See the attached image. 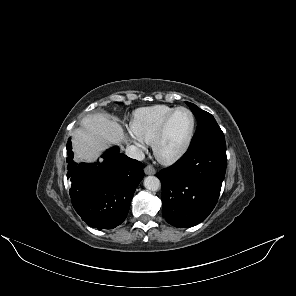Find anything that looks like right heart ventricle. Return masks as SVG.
Returning a JSON list of instances; mask_svg holds the SVG:
<instances>
[{
    "instance_id": "obj_1",
    "label": "right heart ventricle",
    "mask_w": 296,
    "mask_h": 296,
    "mask_svg": "<svg viewBox=\"0 0 296 296\" xmlns=\"http://www.w3.org/2000/svg\"><path fill=\"white\" fill-rule=\"evenodd\" d=\"M174 109L167 105H155L136 110L131 122L133 133L145 144H152L161 124Z\"/></svg>"
}]
</instances>
